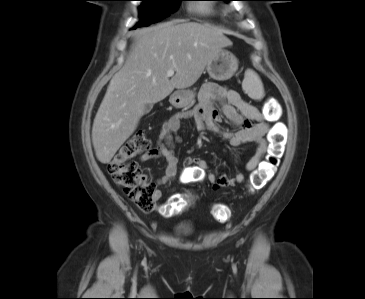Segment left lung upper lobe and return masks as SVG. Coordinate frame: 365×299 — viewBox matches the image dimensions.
Wrapping results in <instances>:
<instances>
[{"label": "left lung upper lobe", "mask_w": 365, "mask_h": 299, "mask_svg": "<svg viewBox=\"0 0 365 299\" xmlns=\"http://www.w3.org/2000/svg\"><path fill=\"white\" fill-rule=\"evenodd\" d=\"M224 1H232V0H224Z\"/></svg>", "instance_id": "5c2ea615"}]
</instances>
